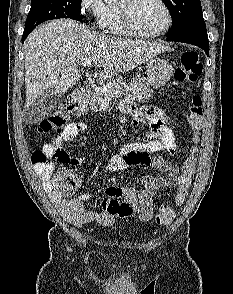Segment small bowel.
<instances>
[{"label":"small bowel","instance_id":"small-bowel-1","mask_svg":"<svg viewBox=\"0 0 233 294\" xmlns=\"http://www.w3.org/2000/svg\"><path fill=\"white\" fill-rule=\"evenodd\" d=\"M142 108L135 107L131 102L124 101L121 111L133 118V125H139L146 117L150 130L146 142H133L121 146L114 154L108 164L110 172L125 170L131 166H150L163 173L161 176H147L142 180V187L134 185L127 187L108 186L105 189L107 199L102 200L103 211L100 213L88 211L84 202L90 198L89 193H84L76 198L67 200L55 187L53 174L55 170L54 161L61 163L80 164L86 157L71 158L63 149V143L73 142L79 133L87 130L86 123L72 121L66 125L59 136L45 145L44 150L49 153L53 162L36 165L35 171L42 185L48 193L51 201L65 220L75 226H82L90 222L102 225L111 224L115 217L137 216L141 221H149L153 215V196L157 190L162 188H175L178 185V166L170 159L163 156L152 158L150 154L165 151L173 157L177 151L173 131L166 124V117L162 110L142 103ZM120 198L123 201H120ZM121 204L131 208V213L122 214L119 210Z\"/></svg>","mask_w":233,"mask_h":294}]
</instances>
